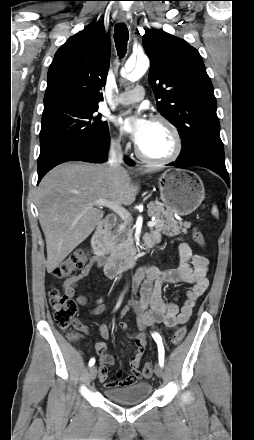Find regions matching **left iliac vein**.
<instances>
[{"mask_svg":"<svg viewBox=\"0 0 254 440\" xmlns=\"http://www.w3.org/2000/svg\"><path fill=\"white\" fill-rule=\"evenodd\" d=\"M154 372L157 377L162 378L164 376V371L159 364H156L154 367Z\"/></svg>","mask_w":254,"mask_h":440,"instance_id":"4c4485c4","label":"left iliac vein"}]
</instances>
